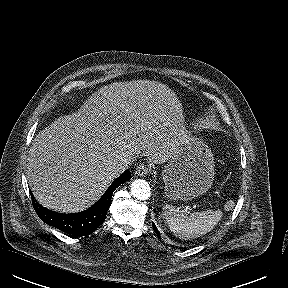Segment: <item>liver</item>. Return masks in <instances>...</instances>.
<instances>
[{
	"instance_id": "6515ba94",
	"label": "liver",
	"mask_w": 288,
	"mask_h": 288,
	"mask_svg": "<svg viewBox=\"0 0 288 288\" xmlns=\"http://www.w3.org/2000/svg\"><path fill=\"white\" fill-rule=\"evenodd\" d=\"M182 104L166 85L149 80L101 87L78 112L39 132L29 149L27 178L44 207L75 213L93 205L114 178L121 155L162 164L189 139Z\"/></svg>"
}]
</instances>
